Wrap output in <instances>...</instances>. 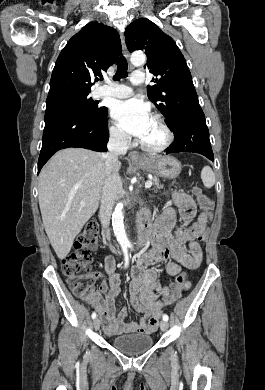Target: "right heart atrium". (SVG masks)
<instances>
[{"instance_id": "d8ad5b80", "label": "right heart atrium", "mask_w": 265, "mask_h": 390, "mask_svg": "<svg viewBox=\"0 0 265 390\" xmlns=\"http://www.w3.org/2000/svg\"><path fill=\"white\" fill-rule=\"evenodd\" d=\"M111 140L119 145H126L128 143V136L116 124L109 128Z\"/></svg>"}]
</instances>
